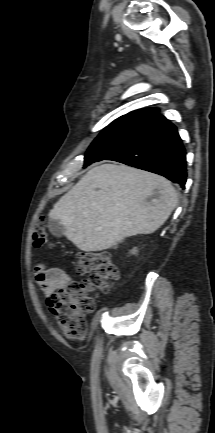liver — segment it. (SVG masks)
<instances>
[{"label":"liver","mask_w":215,"mask_h":433,"mask_svg":"<svg viewBox=\"0 0 215 433\" xmlns=\"http://www.w3.org/2000/svg\"><path fill=\"white\" fill-rule=\"evenodd\" d=\"M178 202L166 178L126 165L90 169L49 212L65 236L85 252L111 248L127 237L151 234Z\"/></svg>","instance_id":"1"}]
</instances>
